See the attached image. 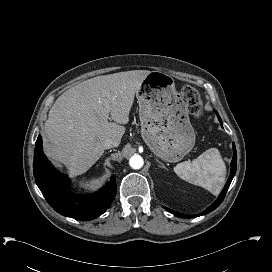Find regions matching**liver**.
Returning <instances> with one entry per match:
<instances>
[{
	"instance_id": "obj_1",
	"label": "liver",
	"mask_w": 272,
	"mask_h": 272,
	"mask_svg": "<svg viewBox=\"0 0 272 272\" xmlns=\"http://www.w3.org/2000/svg\"><path fill=\"white\" fill-rule=\"evenodd\" d=\"M147 70L97 76L58 97L44 125V152L71 176L88 171L104 153V142L120 143L134 96ZM103 99L110 101L106 109ZM110 118L114 122H109Z\"/></svg>"
}]
</instances>
